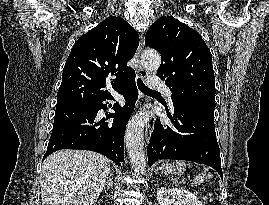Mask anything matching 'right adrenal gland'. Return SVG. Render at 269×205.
Wrapping results in <instances>:
<instances>
[{"mask_svg": "<svg viewBox=\"0 0 269 205\" xmlns=\"http://www.w3.org/2000/svg\"><path fill=\"white\" fill-rule=\"evenodd\" d=\"M113 188V173H109V178L107 179V183L105 184L103 190Z\"/></svg>", "mask_w": 269, "mask_h": 205, "instance_id": "obj_1", "label": "right adrenal gland"}]
</instances>
